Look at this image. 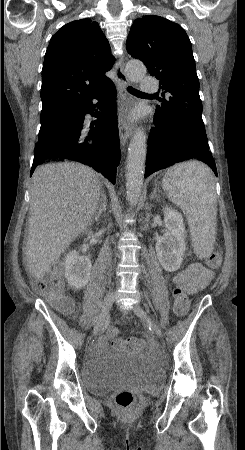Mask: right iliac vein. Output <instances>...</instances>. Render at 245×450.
<instances>
[{
  "label": "right iliac vein",
  "instance_id": "right-iliac-vein-1",
  "mask_svg": "<svg viewBox=\"0 0 245 450\" xmlns=\"http://www.w3.org/2000/svg\"><path fill=\"white\" fill-rule=\"evenodd\" d=\"M113 303H114V294H113V292H111L110 294L107 295V297L105 298V300L103 302L97 323L94 326V329L92 332L93 336H96L99 333V331L101 330V328L103 327V324H104L106 318L108 317V314L113 306Z\"/></svg>",
  "mask_w": 245,
  "mask_h": 450
}]
</instances>
